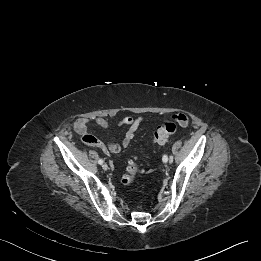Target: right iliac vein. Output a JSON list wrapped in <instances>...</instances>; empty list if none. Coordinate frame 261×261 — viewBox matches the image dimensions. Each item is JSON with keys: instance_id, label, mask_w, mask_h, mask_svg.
Wrapping results in <instances>:
<instances>
[{"instance_id": "right-iliac-vein-1", "label": "right iliac vein", "mask_w": 261, "mask_h": 261, "mask_svg": "<svg viewBox=\"0 0 261 261\" xmlns=\"http://www.w3.org/2000/svg\"><path fill=\"white\" fill-rule=\"evenodd\" d=\"M102 168H103L104 170H107V169H108V165H107L106 163H103V164H102Z\"/></svg>"}]
</instances>
